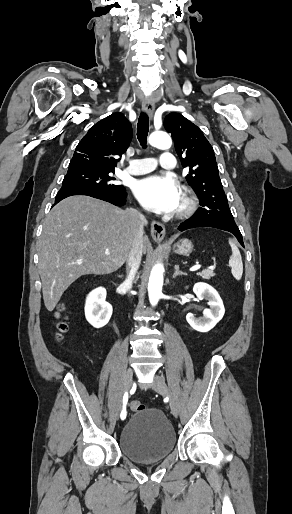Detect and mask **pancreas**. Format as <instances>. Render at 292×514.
<instances>
[{
    "label": "pancreas",
    "instance_id": "obj_1",
    "mask_svg": "<svg viewBox=\"0 0 292 514\" xmlns=\"http://www.w3.org/2000/svg\"><path fill=\"white\" fill-rule=\"evenodd\" d=\"M197 276H202L204 280H210L211 276H214L213 270H203V272H197Z\"/></svg>",
    "mask_w": 292,
    "mask_h": 514
}]
</instances>
